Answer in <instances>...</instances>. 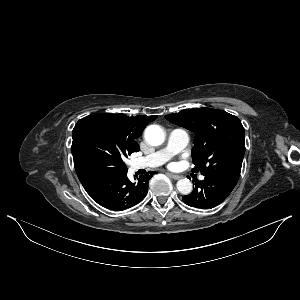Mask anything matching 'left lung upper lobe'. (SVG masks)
I'll use <instances>...</instances> for the list:
<instances>
[{"label": "left lung upper lobe", "mask_w": 300, "mask_h": 300, "mask_svg": "<svg viewBox=\"0 0 300 300\" xmlns=\"http://www.w3.org/2000/svg\"><path fill=\"white\" fill-rule=\"evenodd\" d=\"M165 118L196 133L192 159L204 176L237 183L245 153L244 128L234 115L211 108L185 109Z\"/></svg>", "instance_id": "1"}]
</instances>
